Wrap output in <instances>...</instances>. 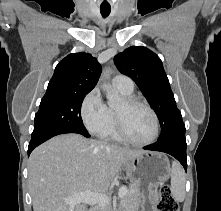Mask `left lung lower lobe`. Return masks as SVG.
Wrapping results in <instances>:
<instances>
[{
    "instance_id": "1",
    "label": "left lung lower lobe",
    "mask_w": 221,
    "mask_h": 211,
    "mask_svg": "<svg viewBox=\"0 0 221 211\" xmlns=\"http://www.w3.org/2000/svg\"><path fill=\"white\" fill-rule=\"evenodd\" d=\"M146 150L159 151L175 157L187 171L185 135L173 136L144 147Z\"/></svg>"
}]
</instances>
